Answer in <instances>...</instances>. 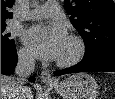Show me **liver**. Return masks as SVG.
I'll return each instance as SVG.
<instances>
[{"mask_svg": "<svg viewBox=\"0 0 115 99\" xmlns=\"http://www.w3.org/2000/svg\"><path fill=\"white\" fill-rule=\"evenodd\" d=\"M16 86V80L10 76L1 75V99H15L14 89ZM29 88V87H28ZM24 99H32V92L29 88L28 93L24 96Z\"/></svg>", "mask_w": 115, "mask_h": 99, "instance_id": "liver-1", "label": "liver"}]
</instances>
